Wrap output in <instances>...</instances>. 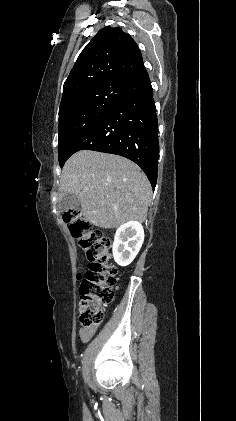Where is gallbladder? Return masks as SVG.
Segmentation results:
<instances>
[{
    "label": "gallbladder",
    "instance_id": "gallbladder-1",
    "mask_svg": "<svg viewBox=\"0 0 236 421\" xmlns=\"http://www.w3.org/2000/svg\"><path fill=\"white\" fill-rule=\"evenodd\" d=\"M80 204L81 202L76 194H65V196H62V198L58 200V208L62 213L69 211V208H72V211H76V208H78Z\"/></svg>",
    "mask_w": 236,
    "mask_h": 421
}]
</instances>
